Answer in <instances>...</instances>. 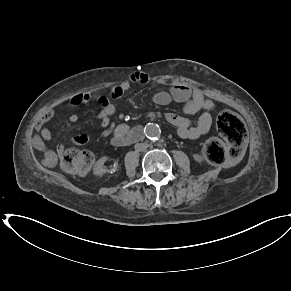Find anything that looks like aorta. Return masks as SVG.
<instances>
[{
  "label": "aorta",
  "instance_id": "762f6f07",
  "mask_svg": "<svg viewBox=\"0 0 291 291\" xmlns=\"http://www.w3.org/2000/svg\"><path fill=\"white\" fill-rule=\"evenodd\" d=\"M161 133V129L160 127L155 124V123H150L148 125H146L145 127V135L149 138V139H156L160 136Z\"/></svg>",
  "mask_w": 291,
  "mask_h": 291
}]
</instances>
